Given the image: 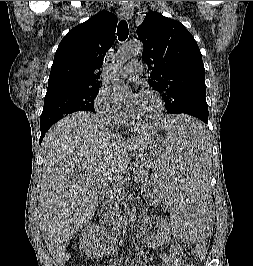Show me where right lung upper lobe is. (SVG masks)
Returning a JSON list of instances; mask_svg holds the SVG:
<instances>
[{
  "mask_svg": "<svg viewBox=\"0 0 253 266\" xmlns=\"http://www.w3.org/2000/svg\"><path fill=\"white\" fill-rule=\"evenodd\" d=\"M115 14L100 11L70 30L54 56L47 92L100 85L99 69L115 39Z\"/></svg>",
  "mask_w": 253,
  "mask_h": 266,
  "instance_id": "right-lung-upper-lobe-1",
  "label": "right lung upper lobe"
}]
</instances>
